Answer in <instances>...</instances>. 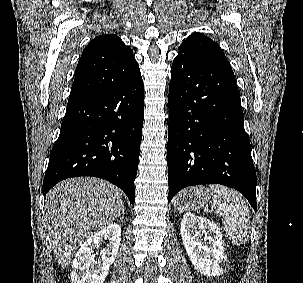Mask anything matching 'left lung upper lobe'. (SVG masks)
<instances>
[{
  "label": "left lung upper lobe",
  "instance_id": "left-lung-upper-lobe-1",
  "mask_svg": "<svg viewBox=\"0 0 303 283\" xmlns=\"http://www.w3.org/2000/svg\"><path fill=\"white\" fill-rule=\"evenodd\" d=\"M179 57L200 59L213 56L225 57L219 45L201 33L190 35L179 47Z\"/></svg>",
  "mask_w": 303,
  "mask_h": 283
}]
</instances>
